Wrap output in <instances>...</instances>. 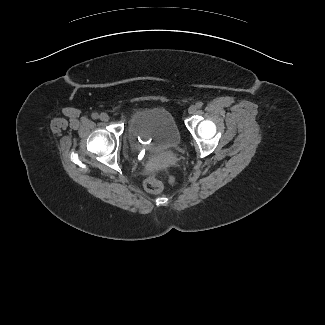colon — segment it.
Returning a JSON list of instances; mask_svg holds the SVG:
<instances>
[{
  "label": "colon",
  "mask_w": 325,
  "mask_h": 325,
  "mask_svg": "<svg viewBox=\"0 0 325 325\" xmlns=\"http://www.w3.org/2000/svg\"><path fill=\"white\" fill-rule=\"evenodd\" d=\"M168 181L170 183L174 182V178L172 176L169 177ZM144 187L147 191L152 193H159L163 191L164 184L163 182L158 178L156 174L150 175L144 182Z\"/></svg>",
  "instance_id": "obj_1"
}]
</instances>
